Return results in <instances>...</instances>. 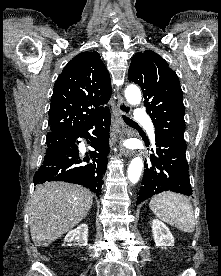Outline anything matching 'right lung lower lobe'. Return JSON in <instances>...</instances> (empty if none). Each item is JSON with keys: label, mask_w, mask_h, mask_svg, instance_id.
Masks as SVG:
<instances>
[{"label": "right lung lower lobe", "mask_w": 221, "mask_h": 276, "mask_svg": "<svg viewBox=\"0 0 221 276\" xmlns=\"http://www.w3.org/2000/svg\"><path fill=\"white\" fill-rule=\"evenodd\" d=\"M110 122L111 115L108 109L74 134L68 147L46 153L42 165L34 175V184H42L46 181L70 182L85 186L99 197L103 176L107 170ZM93 126L96 127L93 131L95 137L88 133ZM79 137L90 138L91 146L95 151H91L89 157L82 159L79 156L77 140Z\"/></svg>", "instance_id": "98d812e1"}]
</instances>
